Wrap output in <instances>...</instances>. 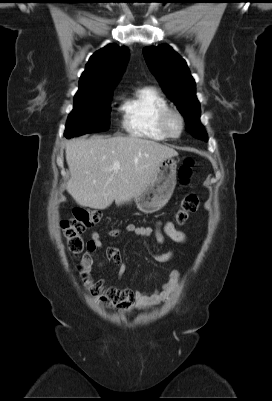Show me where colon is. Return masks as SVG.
<instances>
[{"label": "colon", "mask_w": 272, "mask_h": 401, "mask_svg": "<svg viewBox=\"0 0 272 401\" xmlns=\"http://www.w3.org/2000/svg\"><path fill=\"white\" fill-rule=\"evenodd\" d=\"M194 161L187 158L179 168V179L181 183H188L193 169ZM200 206V199L196 194H187L180 202V206L175 214V219L178 224H183L188 217L195 213ZM102 219L100 212L96 210H88L78 207L74 210L72 219L63 221L62 230L66 239L68 250L74 255L79 256L84 250V239L82 234L96 226ZM85 284L90 287L96 294L100 296V300L104 305H110L113 297L106 291L96 288L93 283L87 278L84 279Z\"/></svg>", "instance_id": "colon-1"}]
</instances>
